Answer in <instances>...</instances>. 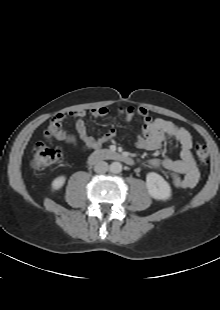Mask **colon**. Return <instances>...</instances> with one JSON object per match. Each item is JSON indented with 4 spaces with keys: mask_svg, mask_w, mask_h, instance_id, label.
<instances>
[{
    "mask_svg": "<svg viewBox=\"0 0 220 310\" xmlns=\"http://www.w3.org/2000/svg\"><path fill=\"white\" fill-rule=\"evenodd\" d=\"M31 165L36 170L46 169L57 164L62 159V153L56 148H51L39 142L33 146ZM195 154L198 161L202 164L208 160V149L202 143L195 144Z\"/></svg>",
    "mask_w": 220,
    "mask_h": 310,
    "instance_id": "1",
    "label": "colon"
}]
</instances>
